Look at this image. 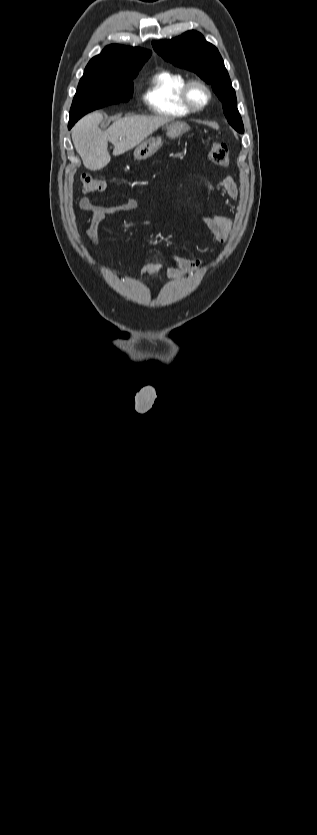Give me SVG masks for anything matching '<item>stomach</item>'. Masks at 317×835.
<instances>
[{"label": "stomach", "instance_id": "stomach-1", "mask_svg": "<svg viewBox=\"0 0 317 835\" xmlns=\"http://www.w3.org/2000/svg\"><path fill=\"white\" fill-rule=\"evenodd\" d=\"M165 129L171 138H178L188 132L190 127L184 122H171L166 124ZM161 137H149L142 142L134 152L135 159L145 160L153 156L159 149Z\"/></svg>", "mask_w": 317, "mask_h": 835}]
</instances>
